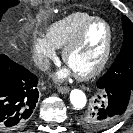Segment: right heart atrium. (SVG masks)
<instances>
[{
	"instance_id": "d8ad5b80",
	"label": "right heart atrium",
	"mask_w": 133,
	"mask_h": 133,
	"mask_svg": "<svg viewBox=\"0 0 133 133\" xmlns=\"http://www.w3.org/2000/svg\"><path fill=\"white\" fill-rule=\"evenodd\" d=\"M32 51L39 57V65L45 68L50 60L56 57V51L49 41L43 36H34Z\"/></svg>"
}]
</instances>
